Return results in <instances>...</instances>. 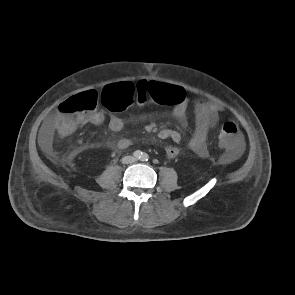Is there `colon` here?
I'll return each instance as SVG.
<instances>
[{
    "mask_svg": "<svg viewBox=\"0 0 295 295\" xmlns=\"http://www.w3.org/2000/svg\"><path fill=\"white\" fill-rule=\"evenodd\" d=\"M178 91L175 87L154 82H118L107 85L101 93L103 105L110 111L119 112L127 109L135 100L163 104H172ZM98 102L95 91H86L63 101L58 107L55 129L61 136L72 134L83 120L93 112ZM240 142L237 125L233 122L223 124L219 134V143L225 150L235 149Z\"/></svg>",
    "mask_w": 295,
    "mask_h": 295,
    "instance_id": "1",
    "label": "colon"
}]
</instances>
